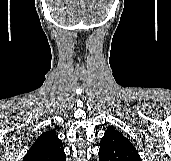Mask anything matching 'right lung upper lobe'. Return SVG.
Segmentation results:
<instances>
[{"instance_id": "cb5924a9", "label": "right lung upper lobe", "mask_w": 171, "mask_h": 161, "mask_svg": "<svg viewBox=\"0 0 171 161\" xmlns=\"http://www.w3.org/2000/svg\"><path fill=\"white\" fill-rule=\"evenodd\" d=\"M23 161H66L58 133L54 130L42 133L30 147Z\"/></svg>"}]
</instances>
